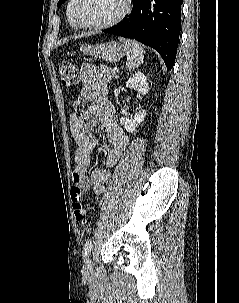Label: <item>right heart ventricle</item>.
Returning <instances> with one entry per match:
<instances>
[{"mask_svg":"<svg viewBox=\"0 0 239 303\" xmlns=\"http://www.w3.org/2000/svg\"><path fill=\"white\" fill-rule=\"evenodd\" d=\"M73 0H69L67 3V8H66V13H67V18H68V22L69 25L73 28V29H78L79 26L76 24L73 15H72V5H73Z\"/></svg>","mask_w":239,"mask_h":303,"instance_id":"e07e8e85","label":"right heart ventricle"}]
</instances>
